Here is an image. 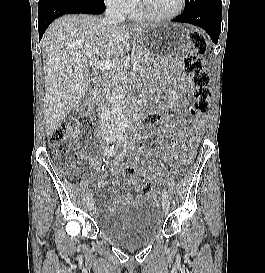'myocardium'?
Segmentation results:
<instances>
[{
    "label": "myocardium",
    "instance_id": "f54148a6",
    "mask_svg": "<svg viewBox=\"0 0 265 273\" xmlns=\"http://www.w3.org/2000/svg\"><path fill=\"white\" fill-rule=\"evenodd\" d=\"M185 5H186V0H180V4H179L178 8L174 12L167 14V15H157V14L151 13L147 9L146 4H145V0H139V7H140V10H141L143 16L145 17V19H148L151 21L172 20V19L176 18L177 16H179L183 12Z\"/></svg>",
    "mask_w": 265,
    "mask_h": 273
}]
</instances>
